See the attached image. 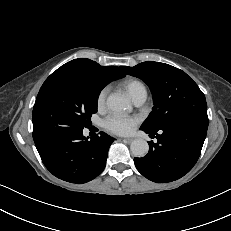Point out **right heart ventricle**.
Instances as JSON below:
<instances>
[{"instance_id": "e07e8e85", "label": "right heart ventricle", "mask_w": 231, "mask_h": 231, "mask_svg": "<svg viewBox=\"0 0 231 231\" xmlns=\"http://www.w3.org/2000/svg\"><path fill=\"white\" fill-rule=\"evenodd\" d=\"M122 86L125 88L129 96L134 100L140 96H147V89L145 84L135 78H129L122 82Z\"/></svg>"}]
</instances>
